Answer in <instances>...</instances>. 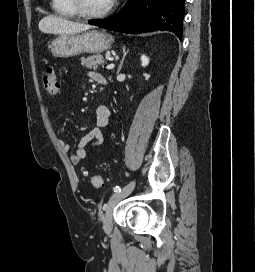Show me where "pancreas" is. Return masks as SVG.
<instances>
[{"label": "pancreas", "instance_id": "pancreas-1", "mask_svg": "<svg viewBox=\"0 0 255 272\" xmlns=\"http://www.w3.org/2000/svg\"><path fill=\"white\" fill-rule=\"evenodd\" d=\"M103 63H104V59H103V56L100 54L91 55V56H88L87 58H84V57L81 58V65L87 69L96 70L98 66Z\"/></svg>", "mask_w": 255, "mask_h": 272}]
</instances>
